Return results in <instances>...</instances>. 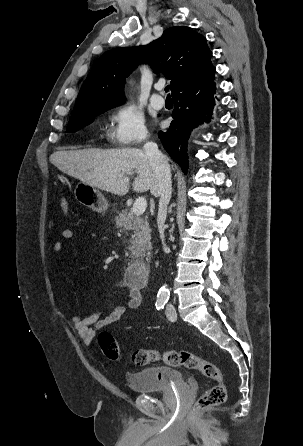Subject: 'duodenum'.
Masks as SVG:
<instances>
[{"mask_svg": "<svg viewBox=\"0 0 303 446\" xmlns=\"http://www.w3.org/2000/svg\"><path fill=\"white\" fill-rule=\"evenodd\" d=\"M148 276V264L145 260L133 261L127 269L126 280L128 284L135 287H142Z\"/></svg>", "mask_w": 303, "mask_h": 446, "instance_id": "410a0bca", "label": "duodenum"}]
</instances>
